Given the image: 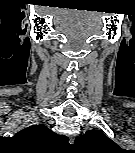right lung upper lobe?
I'll list each match as a JSON object with an SVG mask.
<instances>
[{
	"label": "right lung upper lobe",
	"instance_id": "1",
	"mask_svg": "<svg viewBox=\"0 0 135 153\" xmlns=\"http://www.w3.org/2000/svg\"><path fill=\"white\" fill-rule=\"evenodd\" d=\"M15 137L37 147H46L58 142H67L68 138L58 135L44 125H32L18 132Z\"/></svg>",
	"mask_w": 135,
	"mask_h": 153
}]
</instances>
